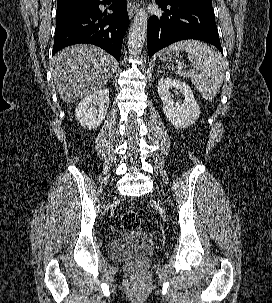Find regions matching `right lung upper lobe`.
<instances>
[{
    "label": "right lung upper lobe",
    "mask_w": 272,
    "mask_h": 303,
    "mask_svg": "<svg viewBox=\"0 0 272 303\" xmlns=\"http://www.w3.org/2000/svg\"><path fill=\"white\" fill-rule=\"evenodd\" d=\"M78 1H85V0H57V5L73 3V2H78Z\"/></svg>",
    "instance_id": "1"
}]
</instances>
